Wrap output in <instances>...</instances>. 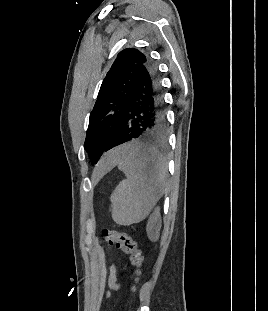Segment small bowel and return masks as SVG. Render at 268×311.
<instances>
[{
  "label": "small bowel",
  "instance_id": "small-bowel-1",
  "mask_svg": "<svg viewBox=\"0 0 268 311\" xmlns=\"http://www.w3.org/2000/svg\"><path fill=\"white\" fill-rule=\"evenodd\" d=\"M117 274H118V269L115 264H112L109 269V275H108V287L110 290H117L120 288V283L117 280ZM110 297V291H106L105 298Z\"/></svg>",
  "mask_w": 268,
  "mask_h": 311
}]
</instances>
